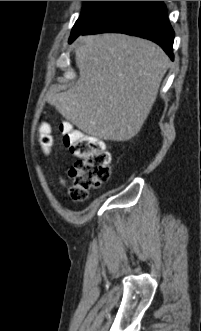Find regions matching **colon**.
Masks as SVG:
<instances>
[{"label":"colon","mask_w":201,"mask_h":331,"mask_svg":"<svg viewBox=\"0 0 201 331\" xmlns=\"http://www.w3.org/2000/svg\"><path fill=\"white\" fill-rule=\"evenodd\" d=\"M60 131L64 145L77 158L68 172L69 195L73 201L82 202L91 190L109 179L110 154L100 140L73 129L69 124L61 125ZM40 143L44 151L50 150L52 137L48 126H43L40 131Z\"/></svg>","instance_id":"5ec220e1"}]
</instances>
